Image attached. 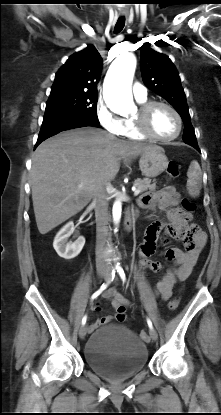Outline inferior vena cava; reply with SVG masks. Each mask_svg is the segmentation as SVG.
I'll return each instance as SVG.
<instances>
[{
  "instance_id": "602c4592",
  "label": "inferior vena cava",
  "mask_w": 221,
  "mask_h": 415,
  "mask_svg": "<svg viewBox=\"0 0 221 415\" xmlns=\"http://www.w3.org/2000/svg\"><path fill=\"white\" fill-rule=\"evenodd\" d=\"M107 181L97 187L94 194L96 217V267L109 268L106 261V245L108 231V195L106 191Z\"/></svg>"
}]
</instances>
